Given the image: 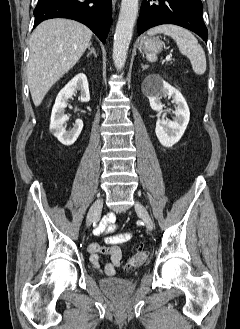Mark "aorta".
Returning <instances> with one entry per match:
<instances>
[{"instance_id":"762f6f07","label":"aorta","mask_w":240,"mask_h":329,"mask_svg":"<svg viewBox=\"0 0 240 329\" xmlns=\"http://www.w3.org/2000/svg\"><path fill=\"white\" fill-rule=\"evenodd\" d=\"M137 13L138 0H122L113 42V61L118 71L126 62Z\"/></svg>"}]
</instances>
